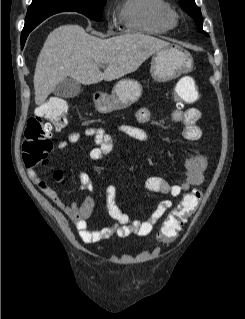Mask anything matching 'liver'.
Here are the masks:
<instances>
[{
    "label": "liver",
    "mask_w": 245,
    "mask_h": 319,
    "mask_svg": "<svg viewBox=\"0 0 245 319\" xmlns=\"http://www.w3.org/2000/svg\"><path fill=\"white\" fill-rule=\"evenodd\" d=\"M169 43L159 38L127 33L100 39L79 25H62L44 42L34 73L35 103L42 104L64 78L91 85L113 81L136 71ZM107 65L102 73L99 67Z\"/></svg>",
    "instance_id": "6515ba94"
}]
</instances>
